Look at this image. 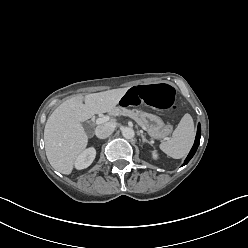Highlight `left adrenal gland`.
<instances>
[{
	"mask_svg": "<svg viewBox=\"0 0 248 248\" xmlns=\"http://www.w3.org/2000/svg\"><path fill=\"white\" fill-rule=\"evenodd\" d=\"M141 138H142L143 143L146 142V143L152 145V143L145 138V136L143 135V133H141Z\"/></svg>",
	"mask_w": 248,
	"mask_h": 248,
	"instance_id": "left-adrenal-gland-1",
	"label": "left adrenal gland"
}]
</instances>
